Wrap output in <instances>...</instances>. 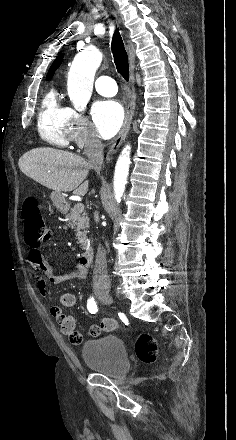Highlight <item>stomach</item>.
I'll return each instance as SVG.
<instances>
[{
    "label": "stomach",
    "mask_w": 236,
    "mask_h": 440,
    "mask_svg": "<svg viewBox=\"0 0 236 440\" xmlns=\"http://www.w3.org/2000/svg\"><path fill=\"white\" fill-rule=\"evenodd\" d=\"M53 205L61 212H66L68 204L65 195L60 191H53L50 195Z\"/></svg>",
    "instance_id": "obj_1"
}]
</instances>
